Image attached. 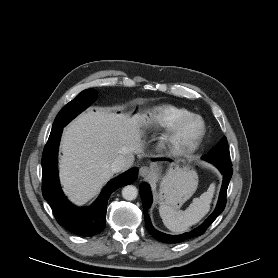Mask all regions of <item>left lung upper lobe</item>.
I'll use <instances>...</instances> for the list:
<instances>
[{"label": "left lung upper lobe", "mask_w": 278, "mask_h": 278, "mask_svg": "<svg viewBox=\"0 0 278 278\" xmlns=\"http://www.w3.org/2000/svg\"><path fill=\"white\" fill-rule=\"evenodd\" d=\"M203 159L218 165L232 166L226 137H223L207 155L203 156Z\"/></svg>", "instance_id": "left-lung-upper-lobe-1"}]
</instances>
